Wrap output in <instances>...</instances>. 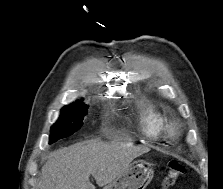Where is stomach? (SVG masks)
<instances>
[{"label":"stomach","mask_w":223,"mask_h":189,"mask_svg":"<svg viewBox=\"0 0 223 189\" xmlns=\"http://www.w3.org/2000/svg\"><path fill=\"white\" fill-rule=\"evenodd\" d=\"M154 170L151 164L144 160L130 163L116 179L104 189H145L151 182Z\"/></svg>","instance_id":"1"}]
</instances>
